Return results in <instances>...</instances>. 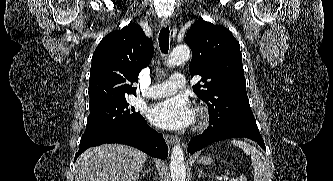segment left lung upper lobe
<instances>
[{"instance_id": "left-lung-upper-lobe-1", "label": "left lung upper lobe", "mask_w": 333, "mask_h": 181, "mask_svg": "<svg viewBox=\"0 0 333 181\" xmlns=\"http://www.w3.org/2000/svg\"><path fill=\"white\" fill-rule=\"evenodd\" d=\"M185 42L192 50L190 74L202 76L203 83L193 90L210 114H227L237 124L259 131L246 93L239 42L229 29L201 19L190 27Z\"/></svg>"}]
</instances>
